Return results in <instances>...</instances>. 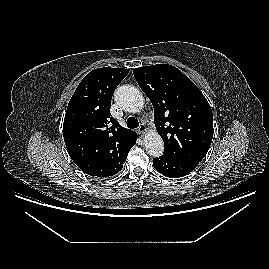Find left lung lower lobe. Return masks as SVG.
Returning <instances> with one entry per match:
<instances>
[{
  "mask_svg": "<svg viewBox=\"0 0 269 269\" xmlns=\"http://www.w3.org/2000/svg\"><path fill=\"white\" fill-rule=\"evenodd\" d=\"M199 163L192 161H178L164 156L153 159L155 169L166 177L179 178L192 172Z\"/></svg>",
  "mask_w": 269,
  "mask_h": 269,
  "instance_id": "left-lung-lower-lobe-1",
  "label": "left lung lower lobe"
}]
</instances>
